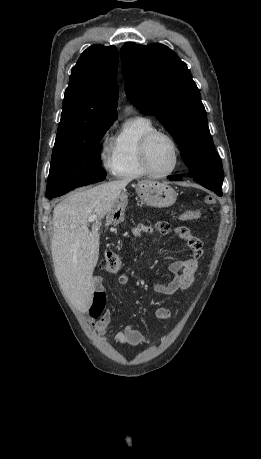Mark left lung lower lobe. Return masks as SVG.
Listing matches in <instances>:
<instances>
[{
  "instance_id": "1",
  "label": "left lung lower lobe",
  "mask_w": 261,
  "mask_h": 459,
  "mask_svg": "<svg viewBox=\"0 0 261 459\" xmlns=\"http://www.w3.org/2000/svg\"><path fill=\"white\" fill-rule=\"evenodd\" d=\"M168 178L169 180H172V181L181 180V177L179 175L169 176ZM194 180L200 183L205 188L212 190L218 196H222L223 179L204 177V178H195Z\"/></svg>"
}]
</instances>
